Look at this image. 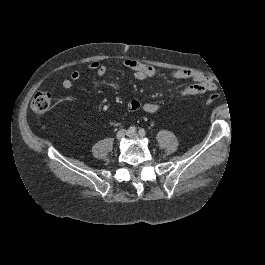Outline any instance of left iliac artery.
Masks as SVG:
<instances>
[{
    "mask_svg": "<svg viewBox=\"0 0 265 265\" xmlns=\"http://www.w3.org/2000/svg\"><path fill=\"white\" fill-rule=\"evenodd\" d=\"M139 134H140L141 136H145V135H146V131H145L144 129H140V130H139Z\"/></svg>",
    "mask_w": 265,
    "mask_h": 265,
    "instance_id": "obj_1",
    "label": "left iliac artery"
}]
</instances>
